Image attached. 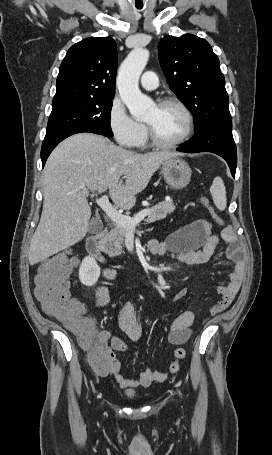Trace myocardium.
<instances>
[{
    "label": "myocardium",
    "instance_id": "myocardium-1",
    "mask_svg": "<svg viewBox=\"0 0 272 455\" xmlns=\"http://www.w3.org/2000/svg\"><path fill=\"white\" fill-rule=\"evenodd\" d=\"M168 105L176 106L183 112V114L186 118V130H185L184 134L181 136V138H179L178 140H176L174 142L166 143V142H163L158 139V137L156 136V134L150 124L145 123L147 136H148L150 143L154 147H157L160 149L177 148V147L181 146L182 144H184L185 142H187L191 138V136L194 132V117H193L191 110L182 101H180L179 99L173 98V97L162 98L156 104V106H158V107H164V106H168Z\"/></svg>",
    "mask_w": 272,
    "mask_h": 455
}]
</instances>
